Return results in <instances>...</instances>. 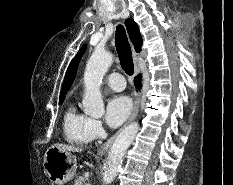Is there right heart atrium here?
I'll return each mask as SVG.
<instances>
[{
    "instance_id": "d8ad5b80",
    "label": "right heart atrium",
    "mask_w": 233,
    "mask_h": 185,
    "mask_svg": "<svg viewBox=\"0 0 233 185\" xmlns=\"http://www.w3.org/2000/svg\"><path fill=\"white\" fill-rule=\"evenodd\" d=\"M87 133L90 141L96 140L103 136L104 128L100 120L90 118L87 125Z\"/></svg>"
}]
</instances>
